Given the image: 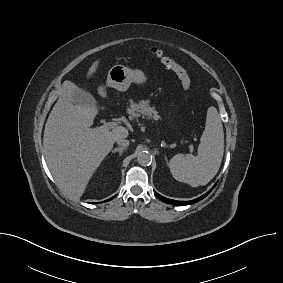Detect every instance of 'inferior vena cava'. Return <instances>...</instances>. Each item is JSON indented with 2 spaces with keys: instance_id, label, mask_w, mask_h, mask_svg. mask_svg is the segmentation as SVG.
<instances>
[{
  "instance_id": "602c4592",
  "label": "inferior vena cava",
  "mask_w": 283,
  "mask_h": 283,
  "mask_svg": "<svg viewBox=\"0 0 283 283\" xmlns=\"http://www.w3.org/2000/svg\"><path fill=\"white\" fill-rule=\"evenodd\" d=\"M116 143H117L119 146H124V147H126V146L129 145V140L124 139V138H118V139L116 140Z\"/></svg>"
}]
</instances>
